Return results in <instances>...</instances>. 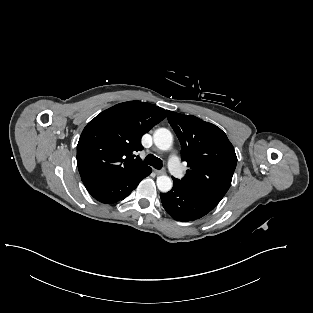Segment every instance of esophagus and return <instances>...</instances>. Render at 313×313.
Segmentation results:
<instances>
[{
	"mask_svg": "<svg viewBox=\"0 0 313 313\" xmlns=\"http://www.w3.org/2000/svg\"><path fill=\"white\" fill-rule=\"evenodd\" d=\"M157 175H164L166 174V170L165 169H161V170H155Z\"/></svg>",
	"mask_w": 313,
	"mask_h": 313,
	"instance_id": "obj_1",
	"label": "esophagus"
}]
</instances>
